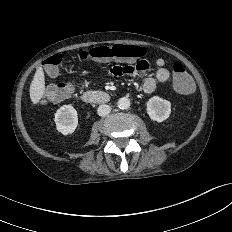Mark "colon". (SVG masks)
I'll return each instance as SVG.
<instances>
[{
    "label": "colon",
    "mask_w": 232,
    "mask_h": 232,
    "mask_svg": "<svg viewBox=\"0 0 232 232\" xmlns=\"http://www.w3.org/2000/svg\"><path fill=\"white\" fill-rule=\"evenodd\" d=\"M146 54V50L140 46L134 45H102L89 50L80 51L76 55L79 61L93 60L105 62L112 59L122 62L138 64L141 58ZM62 61L61 54H53L44 61L45 72L49 77L58 74V66ZM173 87L180 94H189L193 90V80L186 72L180 62L173 64ZM73 91V85L70 82H60L47 88L45 97L49 101H60L67 98Z\"/></svg>",
    "instance_id": "1"
}]
</instances>
